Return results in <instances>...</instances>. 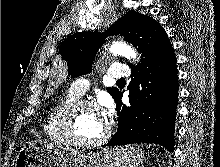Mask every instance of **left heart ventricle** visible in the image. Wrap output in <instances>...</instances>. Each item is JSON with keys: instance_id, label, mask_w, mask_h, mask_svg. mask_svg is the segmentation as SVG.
Returning a JSON list of instances; mask_svg holds the SVG:
<instances>
[{"instance_id": "b2bd125f", "label": "left heart ventricle", "mask_w": 220, "mask_h": 167, "mask_svg": "<svg viewBox=\"0 0 220 167\" xmlns=\"http://www.w3.org/2000/svg\"><path fill=\"white\" fill-rule=\"evenodd\" d=\"M106 123L96 109L82 108L78 111L74 124L77 138L92 141L100 138L104 133Z\"/></svg>"}]
</instances>
